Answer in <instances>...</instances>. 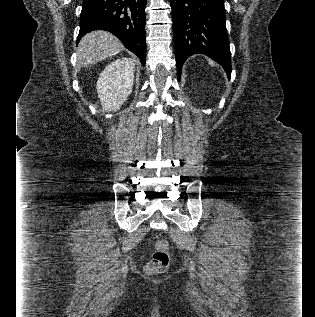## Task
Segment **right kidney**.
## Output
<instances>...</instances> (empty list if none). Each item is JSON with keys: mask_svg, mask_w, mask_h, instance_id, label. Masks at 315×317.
Here are the masks:
<instances>
[{"mask_svg": "<svg viewBox=\"0 0 315 317\" xmlns=\"http://www.w3.org/2000/svg\"><path fill=\"white\" fill-rule=\"evenodd\" d=\"M134 60L120 58L112 61L98 78L96 89L104 111H117L132 92Z\"/></svg>", "mask_w": 315, "mask_h": 317, "instance_id": "obj_1", "label": "right kidney"}]
</instances>
